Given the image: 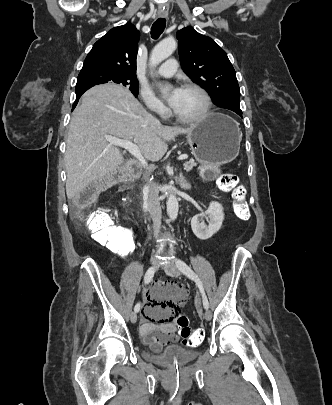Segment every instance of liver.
Listing matches in <instances>:
<instances>
[{
  "instance_id": "6515ba94",
  "label": "liver",
  "mask_w": 332,
  "mask_h": 405,
  "mask_svg": "<svg viewBox=\"0 0 332 405\" xmlns=\"http://www.w3.org/2000/svg\"><path fill=\"white\" fill-rule=\"evenodd\" d=\"M81 99L70 121L64 158L68 199L124 162L106 135L133 141L146 159L158 161L167 152V142L195 126H162L127 89L114 84L95 86Z\"/></svg>"
}]
</instances>
